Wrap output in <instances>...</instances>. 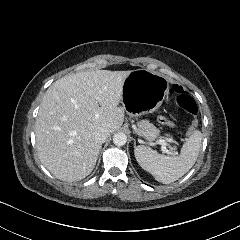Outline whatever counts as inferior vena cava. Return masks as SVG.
I'll return each mask as SVG.
<instances>
[{"mask_svg": "<svg viewBox=\"0 0 240 240\" xmlns=\"http://www.w3.org/2000/svg\"><path fill=\"white\" fill-rule=\"evenodd\" d=\"M109 135H110V132L108 130H106L104 128H100V129H98L95 138L97 141L104 143Z\"/></svg>", "mask_w": 240, "mask_h": 240, "instance_id": "obj_1", "label": "inferior vena cava"}]
</instances>
